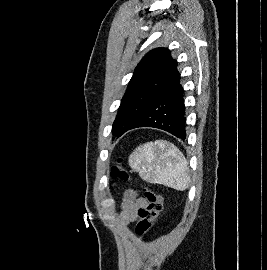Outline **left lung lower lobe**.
Wrapping results in <instances>:
<instances>
[{
    "label": "left lung lower lobe",
    "instance_id": "obj_1",
    "mask_svg": "<svg viewBox=\"0 0 267 270\" xmlns=\"http://www.w3.org/2000/svg\"><path fill=\"white\" fill-rule=\"evenodd\" d=\"M138 127L158 128L181 140L186 139L183 88L177 67L165 88L128 130Z\"/></svg>",
    "mask_w": 267,
    "mask_h": 270
}]
</instances>
